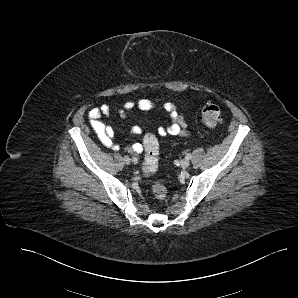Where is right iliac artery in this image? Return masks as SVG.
Returning a JSON list of instances; mask_svg holds the SVG:
<instances>
[{
  "label": "right iliac artery",
  "mask_w": 298,
  "mask_h": 298,
  "mask_svg": "<svg viewBox=\"0 0 298 298\" xmlns=\"http://www.w3.org/2000/svg\"><path fill=\"white\" fill-rule=\"evenodd\" d=\"M132 161H133L134 163H136V162L138 161V159H137L136 157H132Z\"/></svg>",
  "instance_id": "obj_1"
}]
</instances>
